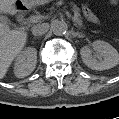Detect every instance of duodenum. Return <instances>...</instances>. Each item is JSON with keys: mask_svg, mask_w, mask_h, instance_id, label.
<instances>
[{"mask_svg": "<svg viewBox=\"0 0 119 119\" xmlns=\"http://www.w3.org/2000/svg\"><path fill=\"white\" fill-rule=\"evenodd\" d=\"M25 11H26V9H25L24 6H22V5H19V6H18V13H19L20 15L24 14Z\"/></svg>", "mask_w": 119, "mask_h": 119, "instance_id": "410a0bca", "label": "duodenum"}]
</instances>
